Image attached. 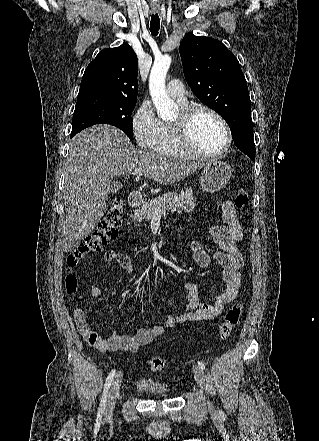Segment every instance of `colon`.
Segmentation results:
<instances>
[{
	"label": "colon",
	"instance_id": "obj_1",
	"mask_svg": "<svg viewBox=\"0 0 319 441\" xmlns=\"http://www.w3.org/2000/svg\"><path fill=\"white\" fill-rule=\"evenodd\" d=\"M233 200L238 209L244 210L249 202L248 192L242 188H237L234 191ZM121 221L122 202L116 199L93 232L88 235L78 248L67 257L66 264L68 270L74 269L85 256L98 252L106 246L108 242L117 235ZM65 287L68 294H75L77 292V279L70 272L65 278ZM243 312L244 305L240 302L235 303L228 309L225 319L219 328V337L222 341H225L230 337L233 330L239 324ZM147 364L152 372H157L163 368L164 361L159 356H152L148 359Z\"/></svg>",
	"mask_w": 319,
	"mask_h": 441
}]
</instances>
